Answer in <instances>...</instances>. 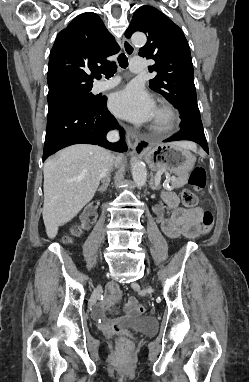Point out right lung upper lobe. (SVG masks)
<instances>
[{"instance_id":"obj_1","label":"right lung upper lobe","mask_w":249,"mask_h":382,"mask_svg":"<svg viewBox=\"0 0 249 382\" xmlns=\"http://www.w3.org/2000/svg\"><path fill=\"white\" fill-rule=\"evenodd\" d=\"M119 50L97 14L77 16L58 34L50 52L48 103L91 89L96 72L108 63L106 58Z\"/></svg>"}]
</instances>
